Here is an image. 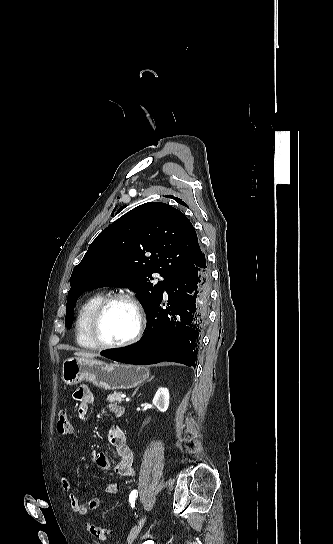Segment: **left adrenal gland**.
<instances>
[{
  "label": "left adrenal gland",
  "instance_id": "left-adrenal-gland-1",
  "mask_svg": "<svg viewBox=\"0 0 333 544\" xmlns=\"http://www.w3.org/2000/svg\"><path fill=\"white\" fill-rule=\"evenodd\" d=\"M137 389L134 391L133 395L136 393Z\"/></svg>",
  "mask_w": 333,
  "mask_h": 544
}]
</instances>
